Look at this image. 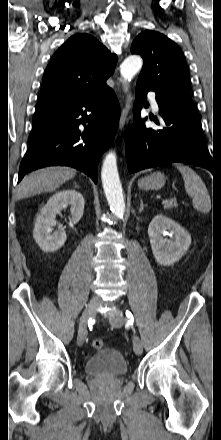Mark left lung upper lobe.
<instances>
[{"label": "left lung upper lobe", "mask_w": 221, "mask_h": 440, "mask_svg": "<svg viewBox=\"0 0 221 440\" xmlns=\"http://www.w3.org/2000/svg\"><path fill=\"white\" fill-rule=\"evenodd\" d=\"M132 54L143 58L138 82L158 95L195 108L190 97L189 70L180 47L165 35L147 30L132 43Z\"/></svg>", "instance_id": "obj_1"}]
</instances>
